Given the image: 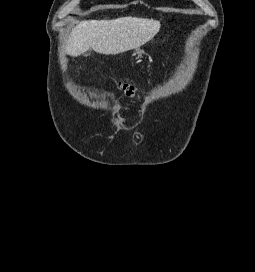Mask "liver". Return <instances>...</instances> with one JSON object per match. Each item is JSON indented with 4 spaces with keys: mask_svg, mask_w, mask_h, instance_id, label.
<instances>
[{
    "mask_svg": "<svg viewBox=\"0 0 255 272\" xmlns=\"http://www.w3.org/2000/svg\"><path fill=\"white\" fill-rule=\"evenodd\" d=\"M160 27L157 20L137 17L83 21L72 30L66 52L77 57L91 48L99 54L116 55L138 49L150 41Z\"/></svg>",
    "mask_w": 255,
    "mask_h": 272,
    "instance_id": "obj_1",
    "label": "liver"
}]
</instances>
